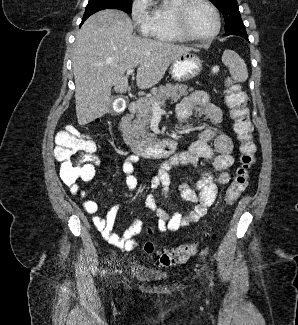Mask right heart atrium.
<instances>
[{"label": "right heart atrium", "mask_w": 298, "mask_h": 325, "mask_svg": "<svg viewBox=\"0 0 298 325\" xmlns=\"http://www.w3.org/2000/svg\"><path fill=\"white\" fill-rule=\"evenodd\" d=\"M131 19L136 25V31L140 37H151L156 41L160 36L157 25H149L152 22V7L148 0H135L131 7Z\"/></svg>", "instance_id": "obj_1"}]
</instances>
